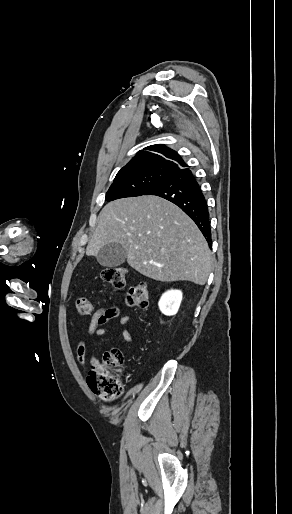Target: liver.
Returning <instances> with one entry per match:
<instances>
[{
	"label": "liver",
	"instance_id": "obj_1",
	"mask_svg": "<svg viewBox=\"0 0 292 514\" xmlns=\"http://www.w3.org/2000/svg\"><path fill=\"white\" fill-rule=\"evenodd\" d=\"M109 242L122 244L131 268L153 280H188L204 286L212 270L209 246L178 206L159 196H138L109 202L87 248L97 256Z\"/></svg>",
	"mask_w": 292,
	"mask_h": 514
}]
</instances>
